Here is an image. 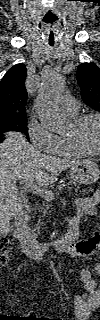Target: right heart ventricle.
Returning a JSON list of instances; mask_svg holds the SVG:
<instances>
[{"label": "right heart ventricle", "instance_id": "obj_1", "mask_svg": "<svg viewBox=\"0 0 100 320\" xmlns=\"http://www.w3.org/2000/svg\"><path fill=\"white\" fill-rule=\"evenodd\" d=\"M53 153L61 156H80L83 154L82 152L74 148L67 141L66 137H58V142Z\"/></svg>", "mask_w": 100, "mask_h": 320}]
</instances>
